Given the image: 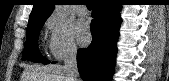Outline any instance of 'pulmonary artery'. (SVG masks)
<instances>
[{"instance_id":"pulmonary-artery-1","label":"pulmonary artery","mask_w":169,"mask_h":81,"mask_svg":"<svg viewBox=\"0 0 169 81\" xmlns=\"http://www.w3.org/2000/svg\"><path fill=\"white\" fill-rule=\"evenodd\" d=\"M77 13H78L79 15H85V14L87 13V10H86V8H84L83 6H81V7H79V8L77 9Z\"/></svg>"}]
</instances>
